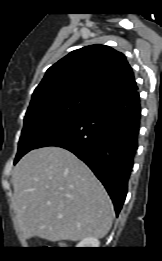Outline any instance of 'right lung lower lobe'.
Returning a JSON list of instances; mask_svg holds the SVG:
<instances>
[{"label": "right lung lower lobe", "instance_id": "98d812e1", "mask_svg": "<svg viewBox=\"0 0 162 261\" xmlns=\"http://www.w3.org/2000/svg\"><path fill=\"white\" fill-rule=\"evenodd\" d=\"M140 114L138 91L120 94L56 128L34 149L58 146L74 153L103 183L118 215L138 148Z\"/></svg>", "mask_w": 162, "mask_h": 261}]
</instances>
